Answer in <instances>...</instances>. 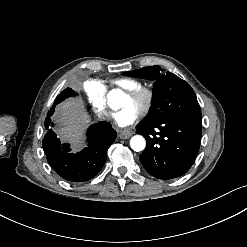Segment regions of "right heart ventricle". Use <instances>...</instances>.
Segmentation results:
<instances>
[{"label":"right heart ventricle","instance_id":"obj_1","mask_svg":"<svg viewBox=\"0 0 247 247\" xmlns=\"http://www.w3.org/2000/svg\"><path fill=\"white\" fill-rule=\"evenodd\" d=\"M117 84L124 90L127 91H133L135 89L140 88V83L135 81V80H131V79H121L119 81H117Z\"/></svg>","mask_w":247,"mask_h":247}]
</instances>
